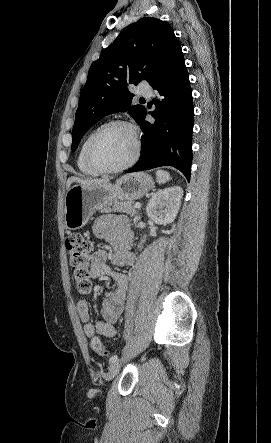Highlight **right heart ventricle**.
<instances>
[{
    "instance_id": "obj_1",
    "label": "right heart ventricle",
    "mask_w": 271,
    "mask_h": 443,
    "mask_svg": "<svg viewBox=\"0 0 271 443\" xmlns=\"http://www.w3.org/2000/svg\"><path fill=\"white\" fill-rule=\"evenodd\" d=\"M100 127V125L96 126L95 128H93L82 140L79 149L77 151V155H76V165L78 170L86 175V176H90V177H96L98 176L100 173L97 172L96 170H94L92 167H90L88 165V163L86 162L85 159V149L87 146L88 141L90 140V138L92 137V135L95 133V131Z\"/></svg>"
}]
</instances>
